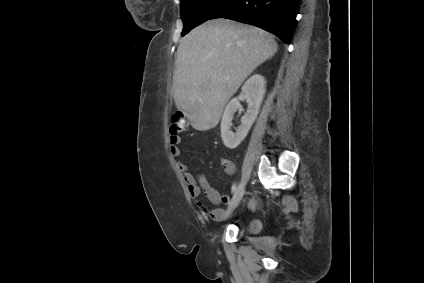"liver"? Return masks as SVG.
I'll list each match as a JSON object with an SVG mask.
<instances>
[{"mask_svg": "<svg viewBox=\"0 0 424 283\" xmlns=\"http://www.w3.org/2000/svg\"><path fill=\"white\" fill-rule=\"evenodd\" d=\"M278 50L274 36L261 28L214 19L180 40L172 94L194 129L207 131L243 81Z\"/></svg>", "mask_w": 424, "mask_h": 283, "instance_id": "6515ba94", "label": "liver"}]
</instances>
